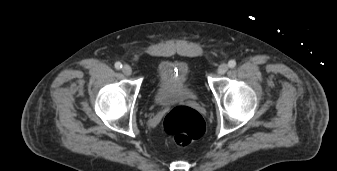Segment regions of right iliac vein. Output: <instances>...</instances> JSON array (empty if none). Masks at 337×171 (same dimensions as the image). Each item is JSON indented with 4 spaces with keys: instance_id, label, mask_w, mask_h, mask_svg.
Masks as SVG:
<instances>
[{
    "instance_id": "63e3f726",
    "label": "right iliac vein",
    "mask_w": 337,
    "mask_h": 171,
    "mask_svg": "<svg viewBox=\"0 0 337 171\" xmlns=\"http://www.w3.org/2000/svg\"><path fill=\"white\" fill-rule=\"evenodd\" d=\"M122 72L126 76H130L132 74V68L129 65H124L123 68H122Z\"/></svg>"
}]
</instances>
